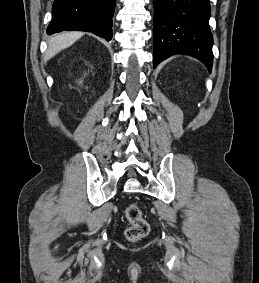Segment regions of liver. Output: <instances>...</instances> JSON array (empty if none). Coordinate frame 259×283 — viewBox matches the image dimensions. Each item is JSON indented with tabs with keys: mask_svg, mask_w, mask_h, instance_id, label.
I'll return each mask as SVG.
<instances>
[{
	"mask_svg": "<svg viewBox=\"0 0 259 283\" xmlns=\"http://www.w3.org/2000/svg\"><path fill=\"white\" fill-rule=\"evenodd\" d=\"M83 36L81 32H66L54 35L48 41V49L45 54V60H49L60 51L70 47L75 41Z\"/></svg>",
	"mask_w": 259,
	"mask_h": 283,
	"instance_id": "obj_1",
	"label": "liver"
}]
</instances>
